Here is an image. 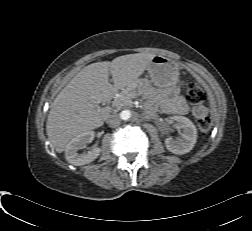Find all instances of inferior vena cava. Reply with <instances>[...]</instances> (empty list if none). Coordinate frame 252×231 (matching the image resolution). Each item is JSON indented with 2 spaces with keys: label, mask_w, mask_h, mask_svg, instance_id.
I'll use <instances>...</instances> for the list:
<instances>
[{
  "label": "inferior vena cava",
  "mask_w": 252,
  "mask_h": 231,
  "mask_svg": "<svg viewBox=\"0 0 252 231\" xmlns=\"http://www.w3.org/2000/svg\"><path fill=\"white\" fill-rule=\"evenodd\" d=\"M106 123L110 126V127H117L120 125L121 123V118L118 114L114 113L108 116Z\"/></svg>",
  "instance_id": "inferior-vena-cava-1"
}]
</instances>
